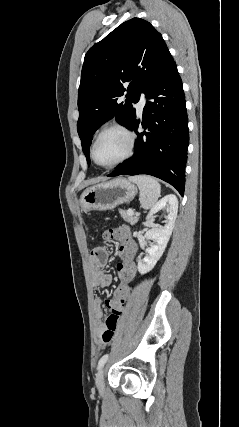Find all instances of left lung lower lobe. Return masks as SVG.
Returning <instances> with one entry per match:
<instances>
[{
  "label": "left lung lower lobe",
  "mask_w": 239,
  "mask_h": 427,
  "mask_svg": "<svg viewBox=\"0 0 239 427\" xmlns=\"http://www.w3.org/2000/svg\"><path fill=\"white\" fill-rule=\"evenodd\" d=\"M143 119L128 127L138 139L134 155L109 177L148 174L174 186L183 196L189 144L188 118L182 81L175 62L145 91ZM147 130L138 133L139 124Z\"/></svg>",
  "instance_id": "0a47b994"
}]
</instances>
